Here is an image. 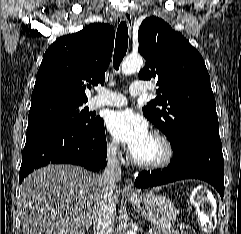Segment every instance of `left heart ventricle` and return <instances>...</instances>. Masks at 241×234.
<instances>
[{"label": "left heart ventricle", "mask_w": 241, "mask_h": 234, "mask_svg": "<svg viewBox=\"0 0 241 234\" xmlns=\"http://www.w3.org/2000/svg\"><path fill=\"white\" fill-rule=\"evenodd\" d=\"M163 155V147L160 141L149 136L145 143L133 153V156L144 162H153L159 160Z\"/></svg>", "instance_id": "left-heart-ventricle-1"}]
</instances>
